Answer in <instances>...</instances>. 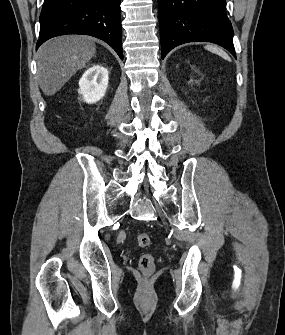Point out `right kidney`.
I'll return each mask as SVG.
<instances>
[{
  "instance_id": "right-kidney-1",
  "label": "right kidney",
  "mask_w": 285,
  "mask_h": 335,
  "mask_svg": "<svg viewBox=\"0 0 285 335\" xmlns=\"http://www.w3.org/2000/svg\"><path fill=\"white\" fill-rule=\"evenodd\" d=\"M109 72L101 66H92L84 72L79 80V94H82L84 102L95 104L106 94L108 88Z\"/></svg>"
}]
</instances>
